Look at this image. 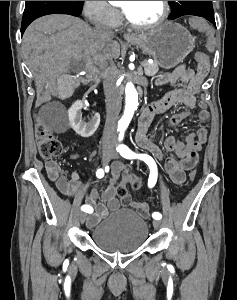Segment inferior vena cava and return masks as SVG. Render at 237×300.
<instances>
[{"label":"inferior vena cava","mask_w":237,"mask_h":300,"mask_svg":"<svg viewBox=\"0 0 237 300\" xmlns=\"http://www.w3.org/2000/svg\"><path fill=\"white\" fill-rule=\"evenodd\" d=\"M95 33L102 41H112L114 33L104 21L95 23ZM107 57V55H106ZM104 73L103 89L106 97V123L104 129V137L107 139H116V123L121 109V93L116 85V67L112 59H108L106 65L102 67ZM107 139H104L106 145Z\"/></svg>","instance_id":"inferior-vena-cava-1"}]
</instances>
